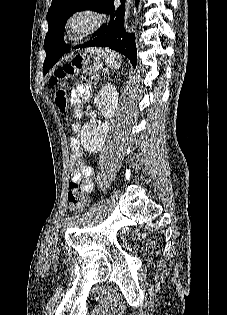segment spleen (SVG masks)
I'll use <instances>...</instances> for the list:
<instances>
[{"label":"spleen","instance_id":"1","mask_svg":"<svg viewBox=\"0 0 227 315\" xmlns=\"http://www.w3.org/2000/svg\"><path fill=\"white\" fill-rule=\"evenodd\" d=\"M102 56L105 58L106 64L113 69L120 67V56L112 51L102 52Z\"/></svg>","mask_w":227,"mask_h":315}]
</instances>
